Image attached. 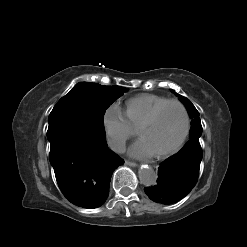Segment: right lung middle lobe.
I'll return each instance as SVG.
<instances>
[{
  "mask_svg": "<svg viewBox=\"0 0 247 247\" xmlns=\"http://www.w3.org/2000/svg\"><path fill=\"white\" fill-rule=\"evenodd\" d=\"M126 90L120 86L80 82L57 102L49 115L48 122L76 120L105 136L104 113Z\"/></svg>",
  "mask_w": 247,
  "mask_h": 247,
  "instance_id": "1",
  "label": "right lung middle lobe"
}]
</instances>
